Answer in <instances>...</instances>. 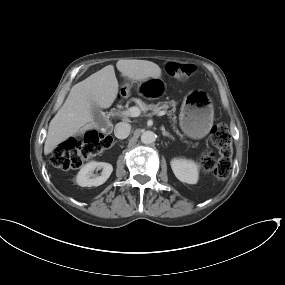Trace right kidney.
I'll return each instance as SVG.
<instances>
[{
    "mask_svg": "<svg viewBox=\"0 0 285 285\" xmlns=\"http://www.w3.org/2000/svg\"><path fill=\"white\" fill-rule=\"evenodd\" d=\"M95 169H102L100 175L94 174ZM113 171L109 163L92 161L84 165L79 171L76 181L82 187L99 186L106 182Z\"/></svg>",
    "mask_w": 285,
    "mask_h": 285,
    "instance_id": "right-kidney-1",
    "label": "right kidney"
}]
</instances>
